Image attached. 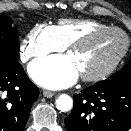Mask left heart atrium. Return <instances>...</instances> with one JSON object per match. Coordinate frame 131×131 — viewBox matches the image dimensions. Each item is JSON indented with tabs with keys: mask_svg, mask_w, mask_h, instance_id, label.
<instances>
[{
	"mask_svg": "<svg viewBox=\"0 0 131 131\" xmlns=\"http://www.w3.org/2000/svg\"><path fill=\"white\" fill-rule=\"evenodd\" d=\"M29 74L41 86L59 89L72 85L79 70L70 55H56L32 62Z\"/></svg>",
	"mask_w": 131,
	"mask_h": 131,
	"instance_id": "obj_1",
	"label": "left heart atrium"
}]
</instances>
